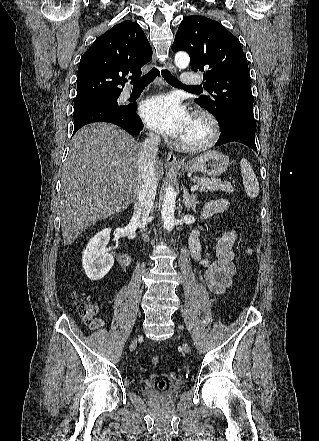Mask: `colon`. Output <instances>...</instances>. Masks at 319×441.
<instances>
[{
    "instance_id": "colon-1",
    "label": "colon",
    "mask_w": 319,
    "mask_h": 441,
    "mask_svg": "<svg viewBox=\"0 0 319 441\" xmlns=\"http://www.w3.org/2000/svg\"><path fill=\"white\" fill-rule=\"evenodd\" d=\"M76 306L78 308V311H79L81 317L84 319V321L88 324L91 323L92 319H93V315L96 312V307L94 305H91V304H88L85 302H76ZM149 362L151 365L157 366L160 364L161 358L157 355H154L149 358ZM165 385H166V383L164 380H160L158 382V387L160 389L165 388Z\"/></svg>"
}]
</instances>
